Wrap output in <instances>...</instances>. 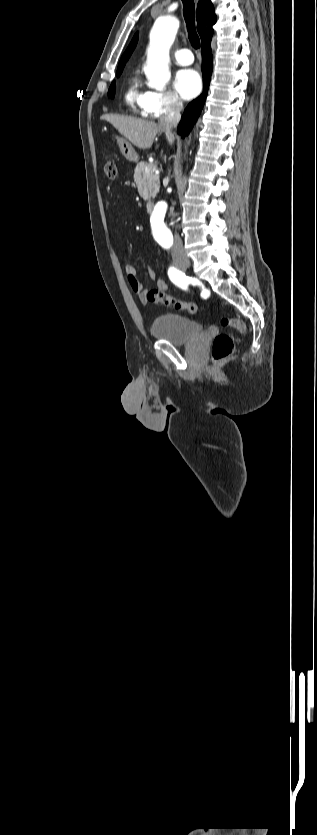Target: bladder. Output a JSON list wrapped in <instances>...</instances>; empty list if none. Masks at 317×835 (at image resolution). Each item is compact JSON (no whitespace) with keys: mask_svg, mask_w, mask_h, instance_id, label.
Segmentation results:
<instances>
[{"mask_svg":"<svg viewBox=\"0 0 317 835\" xmlns=\"http://www.w3.org/2000/svg\"><path fill=\"white\" fill-rule=\"evenodd\" d=\"M154 337L163 339L176 346H183L203 336V326L179 314H165L157 317L152 325Z\"/></svg>","mask_w":317,"mask_h":835,"instance_id":"1","label":"bladder"}]
</instances>
